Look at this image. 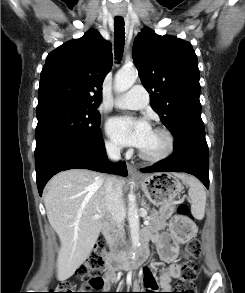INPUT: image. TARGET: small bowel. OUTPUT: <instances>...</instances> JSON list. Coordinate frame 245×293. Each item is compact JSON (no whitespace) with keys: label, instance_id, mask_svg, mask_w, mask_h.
Segmentation results:
<instances>
[{"label":"small bowel","instance_id":"obj_1","mask_svg":"<svg viewBox=\"0 0 245 293\" xmlns=\"http://www.w3.org/2000/svg\"><path fill=\"white\" fill-rule=\"evenodd\" d=\"M144 241L151 240L161 257L162 260L166 262H172L175 260L178 252L180 244L186 241L185 237H175L170 231H165L162 233H157L151 230H145L143 233ZM181 274V266L177 263H171L166 268L160 269V278H159V285L163 293H168L171 289L172 281L178 278ZM143 276V286L145 288L152 287V273L150 269L143 268L142 270ZM104 286L103 289H109L112 284L117 283L119 287H122L124 284L122 281L118 280L117 275L114 271L109 270L104 277ZM131 284V282H129ZM134 287H138V282H133Z\"/></svg>","mask_w":245,"mask_h":293}]
</instances>
